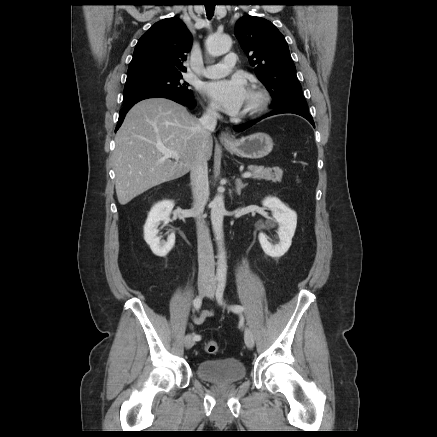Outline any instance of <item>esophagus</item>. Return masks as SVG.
<instances>
[{"label":"esophagus","instance_id":"34e87169","mask_svg":"<svg viewBox=\"0 0 437 437\" xmlns=\"http://www.w3.org/2000/svg\"><path fill=\"white\" fill-rule=\"evenodd\" d=\"M220 141L223 144H231L234 141V138L228 132H222L221 135H220Z\"/></svg>","mask_w":437,"mask_h":437}]
</instances>
